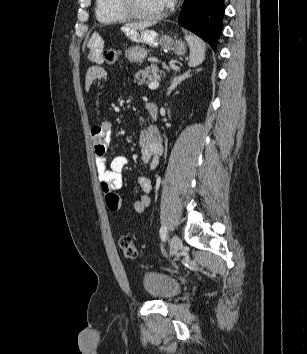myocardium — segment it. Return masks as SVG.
I'll return each instance as SVG.
<instances>
[{
    "label": "myocardium",
    "instance_id": "myocardium-1",
    "mask_svg": "<svg viewBox=\"0 0 307 354\" xmlns=\"http://www.w3.org/2000/svg\"><path fill=\"white\" fill-rule=\"evenodd\" d=\"M117 9L127 18L142 21H154L160 19L164 15V8L155 14H143L138 12L133 0H115Z\"/></svg>",
    "mask_w": 307,
    "mask_h": 354
}]
</instances>
